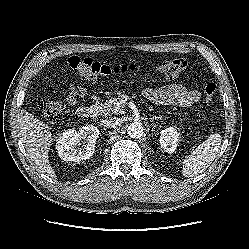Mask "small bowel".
I'll use <instances>...</instances> for the list:
<instances>
[{
    "instance_id": "obj_1",
    "label": "small bowel",
    "mask_w": 249,
    "mask_h": 249,
    "mask_svg": "<svg viewBox=\"0 0 249 249\" xmlns=\"http://www.w3.org/2000/svg\"><path fill=\"white\" fill-rule=\"evenodd\" d=\"M85 93L86 90L83 87L70 85L65 96L70 104H74ZM143 94L153 102L181 107H189L200 99V93L197 90H189L181 84H170L158 89L147 88Z\"/></svg>"
}]
</instances>
